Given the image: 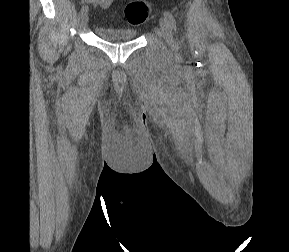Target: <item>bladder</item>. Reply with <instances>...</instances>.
<instances>
[{"label":"bladder","instance_id":"bladder-1","mask_svg":"<svg viewBox=\"0 0 289 252\" xmlns=\"http://www.w3.org/2000/svg\"><path fill=\"white\" fill-rule=\"evenodd\" d=\"M95 34L108 42H124L136 39L138 33L133 29L115 28L109 26H97Z\"/></svg>","mask_w":289,"mask_h":252}]
</instances>
